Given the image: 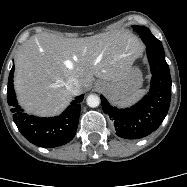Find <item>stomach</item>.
<instances>
[{"label":"stomach","instance_id":"stomach-1","mask_svg":"<svg viewBox=\"0 0 187 187\" xmlns=\"http://www.w3.org/2000/svg\"><path fill=\"white\" fill-rule=\"evenodd\" d=\"M97 83L103 85V91L110 100L121 101L131 96L142 86L143 78L137 67H131L125 77L118 82L98 81Z\"/></svg>","mask_w":187,"mask_h":187}]
</instances>
